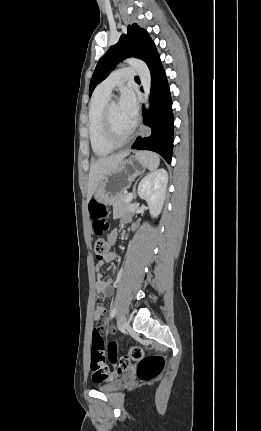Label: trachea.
I'll return each mask as SVG.
<instances>
[{
  "label": "trachea",
  "instance_id": "obj_1",
  "mask_svg": "<svg viewBox=\"0 0 261 431\" xmlns=\"http://www.w3.org/2000/svg\"><path fill=\"white\" fill-rule=\"evenodd\" d=\"M135 79H136V80H138V79H139V77H135Z\"/></svg>",
  "mask_w": 261,
  "mask_h": 431
}]
</instances>
